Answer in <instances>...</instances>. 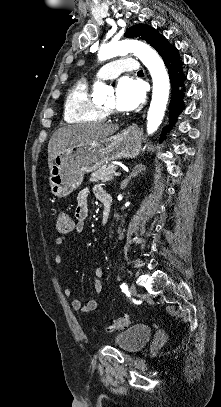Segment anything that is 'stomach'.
<instances>
[{"label":"stomach","mask_w":221,"mask_h":407,"mask_svg":"<svg viewBox=\"0 0 221 407\" xmlns=\"http://www.w3.org/2000/svg\"><path fill=\"white\" fill-rule=\"evenodd\" d=\"M141 151L140 132L129 127L123 131L90 143H79L65 148L53 160L49 184L56 197H66L90 173L111 160L134 158Z\"/></svg>","instance_id":"1"}]
</instances>
